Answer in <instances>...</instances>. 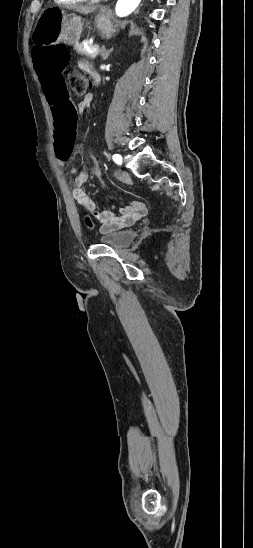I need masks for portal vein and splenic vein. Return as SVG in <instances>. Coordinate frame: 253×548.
<instances>
[{"instance_id": "1", "label": "portal vein and splenic vein", "mask_w": 253, "mask_h": 548, "mask_svg": "<svg viewBox=\"0 0 253 548\" xmlns=\"http://www.w3.org/2000/svg\"><path fill=\"white\" fill-rule=\"evenodd\" d=\"M90 52H91L93 55L98 54V52H99V46H95Z\"/></svg>"}]
</instances>
